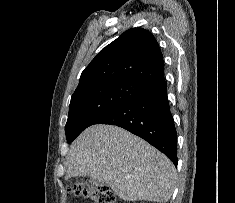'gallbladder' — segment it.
Wrapping results in <instances>:
<instances>
[{"label": "gallbladder", "instance_id": "bac80fb5", "mask_svg": "<svg viewBox=\"0 0 235 203\" xmlns=\"http://www.w3.org/2000/svg\"><path fill=\"white\" fill-rule=\"evenodd\" d=\"M91 184L92 185H103L104 181L103 180H92Z\"/></svg>", "mask_w": 235, "mask_h": 203}]
</instances>
